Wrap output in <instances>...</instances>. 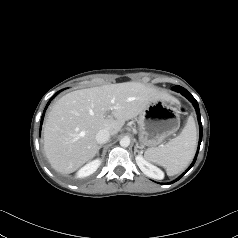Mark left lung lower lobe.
I'll return each instance as SVG.
<instances>
[{
    "instance_id": "1",
    "label": "left lung lower lobe",
    "mask_w": 238,
    "mask_h": 238,
    "mask_svg": "<svg viewBox=\"0 0 238 238\" xmlns=\"http://www.w3.org/2000/svg\"><path fill=\"white\" fill-rule=\"evenodd\" d=\"M172 90H175V91L181 93L182 95H184L187 99H189L193 103V105H194V107L196 109L197 117H198V121H199V125H200V139H199V147H200V144H201V141H202V123H201V118H200V110H199L198 102L196 101V99L185 88H183L181 86H174L172 88ZM198 151H199V148H198ZM198 151H197L196 156L194 158V161L191 164V166L189 167V169L192 168V166L194 165V163L196 161V158H197V155H198ZM183 175H181L175 181L179 180Z\"/></svg>"
}]
</instances>
